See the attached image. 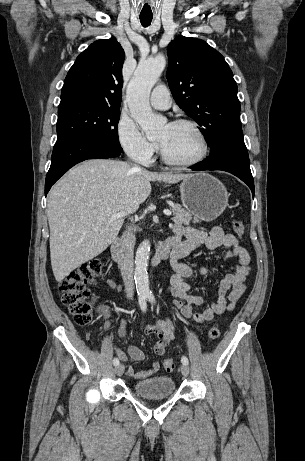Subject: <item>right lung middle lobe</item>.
Instances as JSON below:
<instances>
[{
	"mask_svg": "<svg viewBox=\"0 0 305 461\" xmlns=\"http://www.w3.org/2000/svg\"><path fill=\"white\" fill-rule=\"evenodd\" d=\"M119 107L78 103L58 108L57 141L91 139L122 151L118 140Z\"/></svg>",
	"mask_w": 305,
	"mask_h": 461,
	"instance_id": "1",
	"label": "right lung middle lobe"
}]
</instances>
